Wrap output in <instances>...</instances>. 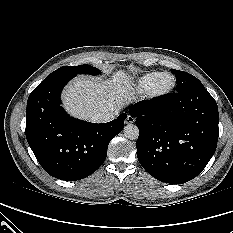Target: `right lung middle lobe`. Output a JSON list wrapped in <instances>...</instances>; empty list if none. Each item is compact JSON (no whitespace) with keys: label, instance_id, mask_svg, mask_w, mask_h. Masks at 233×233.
<instances>
[{"label":"right lung middle lobe","instance_id":"dd1d6c3e","mask_svg":"<svg viewBox=\"0 0 233 233\" xmlns=\"http://www.w3.org/2000/svg\"><path fill=\"white\" fill-rule=\"evenodd\" d=\"M91 74V75H97L100 73V71L97 68H94L90 65H79L75 67L71 66H63L61 68H58L51 74H49L43 82H47L53 78L59 77V76H64V75H71V76H76L77 74Z\"/></svg>","mask_w":233,"mask_h":233}]
</instances>
